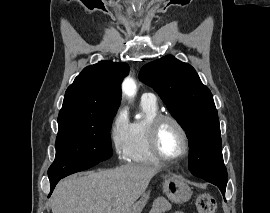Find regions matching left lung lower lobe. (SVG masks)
I'll list each match as a JSON object with an SVG mask.
<instances>
[{
  "label": "left lung lower lobe",
  "mask_w": 270,
  "mask_h": 213,
  "mask_svg": "<svg viewBox=\"0 0 270 213\" xmlns=\"http://www.w3.org/2000/svg\"><path fill=\"white\" fill-rule=\"evenodd\" d=\"M189 170L191 171V173L196 176V177H200V175L198 174V168L196 166V164H194L193 162H189ZM217 186V185H216ZM218 188L221 190L223 196L225 195V190H226V187H222V186H218Z\"/></svg>",
  "instance_id": "left-lung-lower-lobe-1"
}]
</instances>
